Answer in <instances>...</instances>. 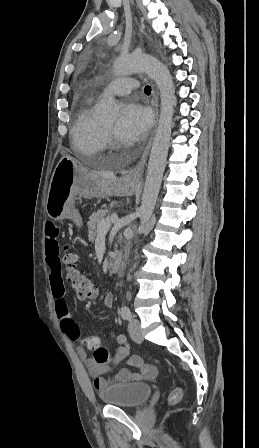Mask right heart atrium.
I'll return each mask as SVG.
<instances>
[{
	"label": "right heart atrium",
	"instance_id": "d8ad5b80",
	"mask_svg": "<svg viewBox=\"0 0 259 448\" xmlns=\"http://www.w3.org/2000/svg\"><path fill=\"white\" fill-rule=\"evenodd\" d=\"M106 142L108 143V144H111V139L110 138H106Z\"/></svg>",
	"mask_w": 259,
	"mask_h": 448
}]
</instances>
